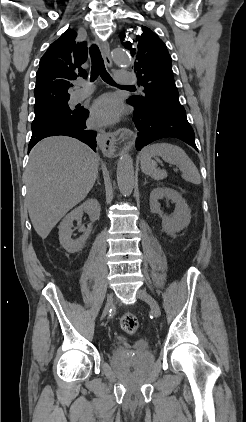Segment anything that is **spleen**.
Listing matches in <instances>:
<instances>
[{"mask_svg":"<svg viewBox=\"0 0 246 422\" xmlns=\"http://www.w3.org/2000/svg\"><path fill=\"white\" fill-rule=\"evenodd\" d=\"M160 156L170 164L176 165L182 172V178L188 182L199 185L201 177L193 161L186 152L177 145L169 143H155L145 147L140 153L141 170L154 180H163L167 172L157 168V163L152 159Z\"/></svg>","mask_w":246,"mask_h":422,"instance_id":"obj_1","label":"spleen"}]
</instances>
